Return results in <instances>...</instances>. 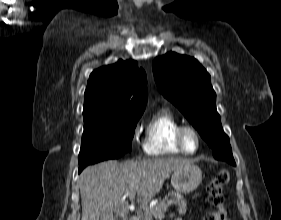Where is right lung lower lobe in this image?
<instances>
[{
  "label": "right lung lower lobe",
  "instance_id": "1",
  "mask_svg": "<svg viewBox=\"0 0 281 220\" xmlns=\"http://www.w3.org/2000/svg\"><path fill=\"white\" fill-rule=\"evenodd\" d=\"M83 169L79 168V173L82 171Z\"/></svg>",
  "mask_w": 281,
  "mask_h": 220
}]
</instances>
